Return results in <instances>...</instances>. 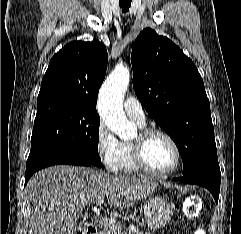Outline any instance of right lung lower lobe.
<instances>
[{
	"instance_id": "right-lung-lower-lobe-1",
	"label": "right lung lower lobe",
	"mask_w": 241,
	"mask_h": 234,
	"mask_svg": "<svg viewBox=\"0 0 241 234\" xmlns=\"http://www.w3.org/2000/svg\"><path fill=\"white\" fill-rule=\"evenodd\" d=\"M58 164L93 165L90 160L66 147L51 146L39 149L29 154L26 162L25 185L33 173L42 168Z\"/></svg>"
}]
</instances>
